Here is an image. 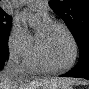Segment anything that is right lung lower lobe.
I'll return each instance as SVG.
<instances>
[{"mask_svg": "<svg viewBox=\"0 0 89 89\" xmlns=\"http://www.w3.org/2000/svg\"><path fill=\"white\" fill-rule=\"evenodd\" d=\"M8 36L4 40L0 41V69H2L5 66L9 56Z\"/></svg>", "mask_w": 89, "mask_h": 89, "instance_id": "obj_1", "label": "right lung lower lobe"}]
</instances>
